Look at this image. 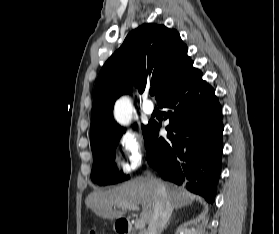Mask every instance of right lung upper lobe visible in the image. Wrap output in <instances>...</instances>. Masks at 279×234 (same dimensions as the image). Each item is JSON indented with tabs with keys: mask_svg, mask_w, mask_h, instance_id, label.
<instances>
[{
	"mask_svg": "<svg viewBox=\"0 0 279 234\" xmlns=\"http://www.w3.org/2000/svg\"><path fill=\"white\" fill-rule=\"evenodd\" d=\"M187 51L179 33L164 25L143 24L131 31L97 78L91 113V145L120 129L113 118V106L120 95L131 93L132 84L140 93L154 86L159 102L192 66Z\"/></svg>",
	"mask_w": 279,
	"mask_h": 234,
	"instance_id": "right-lung-upper-lobe-1",
	"label": "right lung upper lobe"
}]
</instances>
